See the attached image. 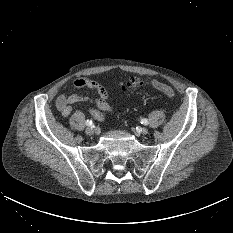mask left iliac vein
I'll use <instances>...</instances> for the list:
<instances>
[{
    "instance_id": "1",
    "label": "left iliac vein",
    "mask_w": 233,
    "mask_h": 233,
    "mask_svg": "<svg viewBox=\"0 0 233 233\" xmlns=\"http://www.w3.org/2000/svg\"><path fill=\"white\" fill-rule=\"evenodd\" d=\"M139 133H140V134H143V135H146V134L148 133V129H147V128H141V129L139 130Z\"/></svg>"
}]
</instances>
